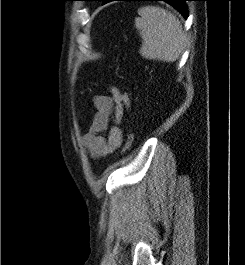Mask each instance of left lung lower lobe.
I'll return each instance as SVG.
<instances>
[{"label": "left lung lower lobe", "instance_id": "left-lung-lower-lobe-1", "mask_svg": "<svg viewBox=\"0 0 245 265\" xmlns=\"http://www.w3.org/2000/svg\"><path fill=\"white\" fill-rule=\"evenodd\" d=\"M111 1H165L171 4L173 7L178 9L185 18L188 17L187 7L185 5V1H192V0H105L103 4L111 2Z\"/></svg>", "mask_w": 245, "mask_h": 265}]
</instances>
